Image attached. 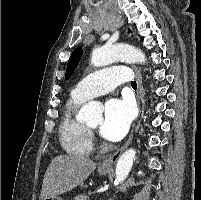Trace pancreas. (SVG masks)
<instances>
[{
	"instance_id": "pancreas-1",
	"label": "pancreas",
	"mask_w": 201,
	"mask_h": 200,
	"mask_svg": "<svg viewBox=\"0 0 201 200\" xmlns=\"http://www.w3.org/2000/svg\"><path fill=\"white\" fill-rule=\"evenodd\" d=\"M74 200H89V198L85 195H77Z\"/></svg>"
}]
</instances>
